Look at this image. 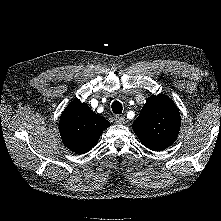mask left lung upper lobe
Listing matches in <instances>:
<instances>
[{"label":"left lung upper lobe","instance_id":"5c2ea615","mask_svg":"<svg viewBox=\"0 0 221 221\" xmlns=\"http://www.w3.org/2000/svg\"><path fill=\"white\" fill-rule=\"evenodd\" d=\"M180 126L177 106L170 98L159 94L147 99L132 128L144 146L161 151L176 141Z\"/></svg>","mask_w":221,"mask_h":221}]
</instances>
